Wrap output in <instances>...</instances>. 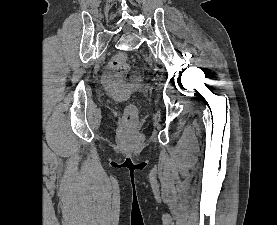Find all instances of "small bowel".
Here are the masks:
<instances>
[{"mask_svg":"<svg viewBox=\"0 0 277 225\" xmlns=\"http://www.w3.org/2000/svg\"><path fill=\"white\" fill-rule=\"evenodd\" d=\"M104 80L107 87H112L115 83L114 77L110 74L105 75Z\"/></svg>","mask_w":277,"mask_h":225,"instance_id":"1","label":"small bowel"}]
</instances>
